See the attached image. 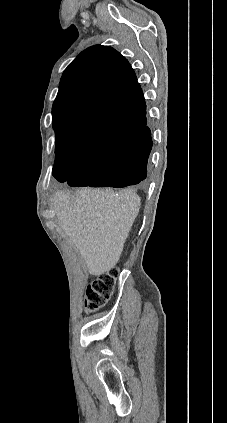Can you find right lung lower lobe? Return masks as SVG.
I'll return each instance as SVG.
<instances>
[{
  "mask_svg": "<svg viewBox=\"0 0 227 423\" xmlns=\"http://www.w3.org/2000/svg\"><path fill=\"white\" fill-rule=\"evenodd\" d=\"M107 120L129 123L135 132L119 142L104 145L91 154L70 175L65 160L55 161L53 176L72 187H127L143 185L149 167L152 149L151 132L146 119L143 97L129 103L107 106L99 110Z\"/></svg>",
  "mask_w": 227,
  "mask_h": 423,
  "instance_id": "obj_1",
  "label": "right lung lower lobe"
}]
</instances>
